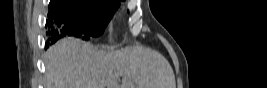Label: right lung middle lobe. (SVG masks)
<instances>
[{"label":"right lung middle lobe","instance_id":"dd1d6c3e","mask_svg":"<svg viewBox=\"0 0 267 88\" xmlns=\"http://www.w3.org/2000/svg\"><path fill=\"white\" fill-rule=\"evenodd\" d=\"M120 7L115 0H51L50 21H59L73 27L76 37L88 40L104 32L114 11ZM51 35V32H48Z\"/></svg>","mask_w":267,"mask_h":88}]
</instances>
